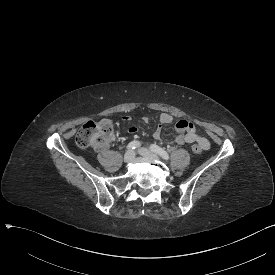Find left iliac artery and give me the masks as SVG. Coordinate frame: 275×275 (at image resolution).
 <instances>
[{"mask_svg":"<svg viewBox=\"0 0 275 275\" xmlns=\"http://www.w3.org/2000/svg\"><path fill=\"white\" fill-rule=\"evenodd\" d=\"M151 151L161 156L164 160H169L170 156L169 154L162 149L161 147L157 146L156 144H152L150 146Z\"/></svg>","mask_w":275,"mask_h":275,"instance_id":"left-iliac-artery-1","label":"left iliac artery"}]
</instances>
